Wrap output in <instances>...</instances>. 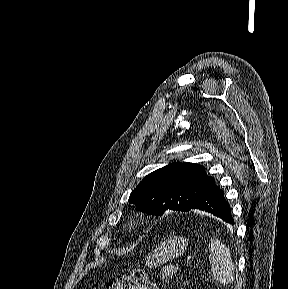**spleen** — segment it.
I'll return each mask as SVG.
<instances>
[{
	"mask_svg": "<svg viewBox=\"0 0 288 289\" xmlns=\"http://www.w3.org/2000/svg\"><path fill=\"white\" fill-rule=\"evenodd\" d=\"M212 277L215 282L226 285L234 281V266L229 248L218 239L209 244Z\"/></svg>",
	"mask_w": 288,
	"mask_h": 289,
	"instance_id": "obj_1",
	"label": "spleen"
}]
</instances>
